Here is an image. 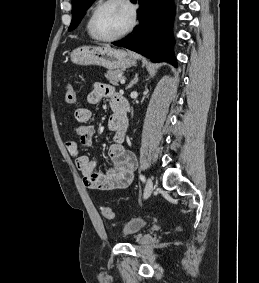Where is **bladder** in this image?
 <instances>
[{"label":"bladder","mask_w":259,"mask_h":283,"mask_svg":"<svg viewBox=\"0 0 259 283\" xmlns=\"http://www.w3.org/2000/svg\"><path fill=\"white\" fill-rule=\"evenodd\" d=\"M146 225V220L141 218H133L122 227V236L127 238L138 233Z\"/></svg>","instance_id":"1"}]
</instances>
